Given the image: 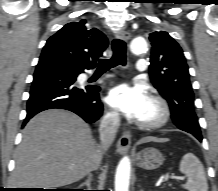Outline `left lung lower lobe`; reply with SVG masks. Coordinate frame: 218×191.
I'll return each mask as SVG.
<instances>
[{
	"instance_id": "left-lung-lower-lobe-1",
	"label": "left lung lower lobe",
	"mask_w": 218,
	"mask_h": 191,
	"mask_svg": "<svg viewBox=\"0 0 218 191\" xmlns=\"http://www.w3.org/2000/svg\"><path fill=\"white\" fill-rule=\"evenodd\" d=\"M186 116H187V114L185 113V111H183V114L180 115V117L178 118V121L174 123L181 130H183V129L181 128L180 123L181 122H186L188 120V118ZM191 134H193L199 141H202L201 133H196L195 132V133H191Z\"/></svg>"
}]
</instances>
